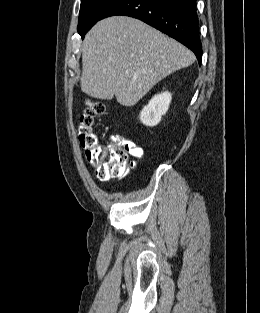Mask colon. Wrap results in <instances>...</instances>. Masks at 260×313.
<instances>
[{"label": "colon", "instance_id": "colon-1", "mask_svg": "<svg viewBox=\"0 0 260 313\" xmlns=\"http://www.w3.org/2000/svg\"><path fill=\"white\" fill-rule=\"evenodd\" d=\"M107 104L101 100H87L79 118L77 136L83 149L85 160L94 168L97 178L109 180L121 176L129 162L133 144L121 136L100 143L93 131L96 116L106 112Z\"/></svg>", "mask_w": 260, "mask_h": 313}]
</instances>
